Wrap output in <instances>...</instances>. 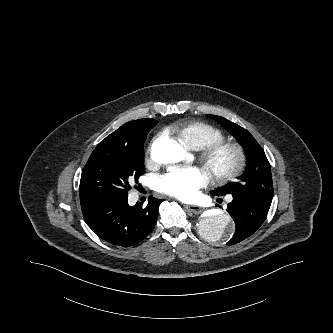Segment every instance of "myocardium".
Returning a JSON list of instances; mask_svg holds the SVG:
<instances>
[{"label": "myocardium", "mask_w": 333, "mask_h": 333, "mask_svg": "<svg viewBox=\"0 0 333 333\" xmlns=\"http://www.w3.org/2000/svg\"><path fill=\"white\" fill-rule=\"evenodd\" d=\"M224 154H228L230 159L221 164L218 160ZM199 160L214 181L225 183L243 172L247 164V154L241 144L221 141L200 149Z\"/></svg>", "instance_id": "1"}]
</instances>
